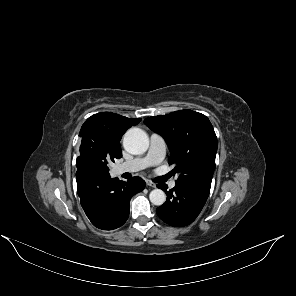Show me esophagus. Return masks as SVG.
<instances>
[{
	"instance_id": "esophagus-1",
	"label": "esophagus",
	"mask_w": 296,
	"mask_h": 296,
	"mask_svg": "<svg viewBox=\"0 0 296 296\" xmlns=\"http://www.w3.org/2000/svg\"><path fill=\"white\" fill-rule=\"evenodd\" d=\"M146 184H147L148 186H150V187H153V188L156 187V184H155L154 182H152L151 180H147V181H146Z\"/></svg>"
}]
</instances>
